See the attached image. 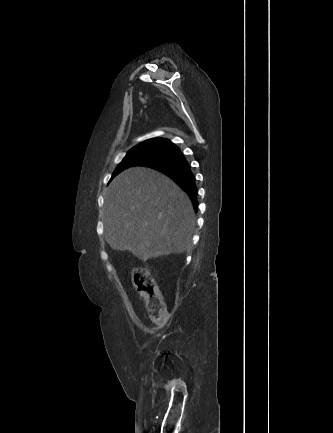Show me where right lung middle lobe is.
Masks as SVG:
<instances>
[{
  "label": "right lung middle lobe",
  "mask_w": 333,
  "mask_h": 433,
  "mask_svg": "<svg viewBox=\"0 0 333 433\" xmlns=\"http://www.w3.org/2000/svg\"><path fill=\"white\" fill-rule=\"evenodd\" d=\"M171 151L172 148L165 146L162 141L153 140L140 143L127 153L113 172L111 180L128 167L149 163L168 155Z\"/></svg>",
  "instance_id": "right-lung-middle-lobe-1"
}]
</instances>
